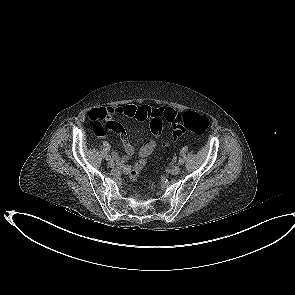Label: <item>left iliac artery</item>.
<instances>
[{"label":"left iliac artery","instance_id":"1","mask_svg":"<svg viewBox=\"0 0 295 295\" xmlns=\"http://www.w3.org/2000/svg\"><path fill=\"white\" fill-rule=\"evenodd\" d=\"M184 163L183 159H179L178 164L182 165Z\"/></svg>","mask_w":295,"mask_h":295}]
</instances>
